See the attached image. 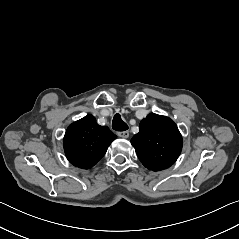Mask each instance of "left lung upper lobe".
Here are the masks:
<instances>
[{"label":"left lung upper lobe","mask_w":239,"mask_h":239,"mask_svg":"<svg viewBox=\"0 0 239 239\" xmlns=\"http://www.w3.org/2000/svg\"><path fill=\"white\" fill-rule=\"evenodd\" d=\"M139 129L131 143L142 164L153 171L173 165L183 144L176 124L166 116L151 113L141 121Z\"/></svg>","instance_id":"left-lung-upper-lobe-1"}]
</instances>
